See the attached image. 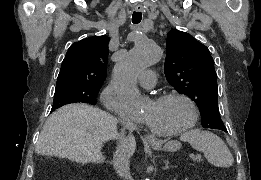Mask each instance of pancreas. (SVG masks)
Instances as JSON below:
<instances>
[{
  "label": "pancreas",
  "instance_id": "cf45deb5",
  "mask_svg": "<svg viewBox=\"0 0 261 180\" xmlns=\"http://www.w3.org/2000/svg\"><path fill=\"white\" fill-rule=\"evenodd\" d=\"M167 150H169L168 146H167ZM194 164H199V161L198 162H194Z\"/></svg>",
  "mask_w": 261,
  "mask_h": 180
}]
</instances>
